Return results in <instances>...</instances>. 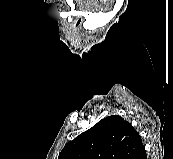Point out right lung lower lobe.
<instances>
[{
    "label": "right lung lower lobe",
    "mask_w": 173,
    "mask_h": 159,
    "mask_svg": "<svg viewBox=\"0 0 173 159\" xmlns=\"http://www.w3.org/2000/svg\"><path fill=\"white\" fill-rule=\"evenodd\" d=\"M140 159H147L146 152L140 157Z\"/></svg>",
    "instance_id": "right-lung-lower-lobe-1"
}]
</instances>
